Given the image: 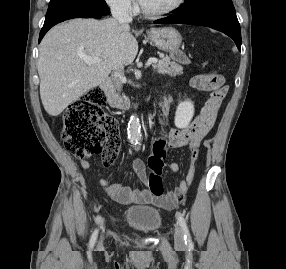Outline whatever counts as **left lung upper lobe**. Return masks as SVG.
Returning a JSON list of instances; mask_svg holds the SVG:
<instances>
[{
    "label": "left lung upper lobe",
    "instance_id": "5c2ea615",
    "mask_svg": "<svg viewBox=\"0 0 286 269\" xmlns=\"http://www.w3.org/2000/svg\"><path fill=\"white\" fill-rule=\"evenodd\" d=\"M183 7H179L173 12L180 14H189L197 11L219 9V10H234L231 0H184Z\"/></svg>",
    "mask_w": 286,
    "mask_h": 269
}]
</instances>
